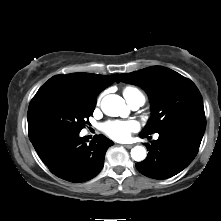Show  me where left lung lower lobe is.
Returning <instances> with one entry per match:
<instances>
[{
	"instance_id": "left-lung-lower-lobe-1",
	"label": "left lung lower lobe",
	"mask_w": 221,
	"mask_h": 221,
	"mask_svg": "<svg viewBox=\"0 0 221 221\" xmlns=\"http://www.w3.org/2000/svg\"><path fill=\"white\" fill-rule=\"evenodd\" d=\"M205 127L203 121H183L162 129L157 132L158 140L145 144L148 156L136 163V168L143 175L159 180L178 174L195 158Z\"/></svg>"
}]
</instances>
